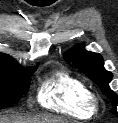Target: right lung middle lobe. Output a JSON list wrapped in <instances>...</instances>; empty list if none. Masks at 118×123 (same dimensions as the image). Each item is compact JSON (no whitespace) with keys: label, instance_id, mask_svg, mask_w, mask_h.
I'll return each instance as SVG.
<instances>
[{"label":"right lung middle lobe","instance_id":"right-lung-middle-lobe-1","mask_svg":"<svg viewBox=\"0 0 118 123\" xmlns=\"http://www.w3.org/2000/svg\"><path fill=\"white\" fill-rule=\"evenodd\" d=\"M33 72L0 63V107L17 102L28 91Z\"/></svg>","mask_w":118,"mask_h":123}]
</instances>
